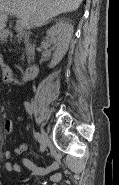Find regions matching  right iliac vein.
Instances as JSON below:
<instances>
[{
  "mask_svg": "<svg viewBox=\"0 0 119 185\" xmlns=\"http://www.w3.org/2000/svg\"><path fill=\"white\" fill-rule=\"evenodd\" d=\"M40 136H41V142H40L41 151L44 152L48 144V136L44 130H41Z\"/></svg>",
  "mask_w": 119,
  "mask_h": 185,
  "instance_id": "obj_1",
  "label": "right iliac vein"
}]
</instances>
